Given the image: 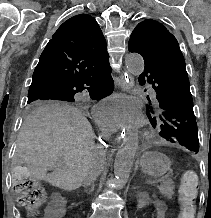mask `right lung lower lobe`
<instances>
[{
	"mask_svg": "<svg viewBox=\"0 0 211 218\" xmlns=\"http://www.w3.org/2000/svg\"><path fill=\"white\" fill-rule=\"evenodd\" d=\"M111 71L109 62H107L97 67L84 78L68 82L60 88L51 91L47 96H74L76 93L87 88L91 98L102 99L110 95L114 89V82L110 75Z\"/></svg>",
	"mask_w": 211,
	"mask_h": 218,
	"instance_id": "98d812e1",
	"label": "right lung lower lobe"
}]
</instances>
